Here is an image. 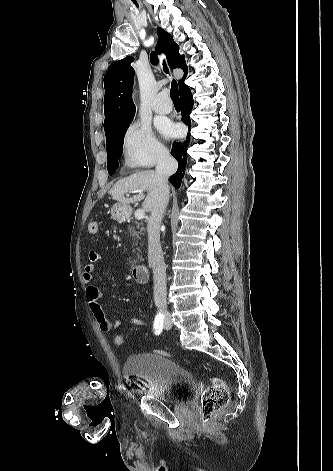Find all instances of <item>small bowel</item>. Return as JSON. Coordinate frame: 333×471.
<instances>
[{
  "mask_svg": "<svg viewBox=\"0 0 333 471\" xmlns=\"http://www.w3.org/2000/svg\"><path fill=\"white\" fill-rule=\"evenodd\" d=\"M101 261V256L95 251H90L88 254V261L83 268V281L86 284V298L89 305L90 312L96 321L98 328L102 332H111L121 325L120 320L110 322L103 310L101 299V290L92 283L95 266ZM130 324L134 326H142L144 322L139 317H130Z\"/></svg>",
  "mask_w": 333,
  "mask_h": 471,
  "instance_id": "1",
  "label": "small bowel"
}]
</instances>
